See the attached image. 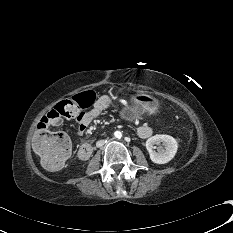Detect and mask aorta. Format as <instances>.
<instances>
[{"instance_id": "aorta-1", "label": "aorta", "mask_w": 233, "mask_h": 233, "mask_svg": "<svg viewBox=\"0 0 233 233\" xmlns=\"http://www.w3.org/2000/svg\"><path fill=\"white\" fill-rule=\"evenodd\" d=\"M115 138L120 139L122 137V133L120 131H116L114 133Z\"/></svg>"}]
</instances>
